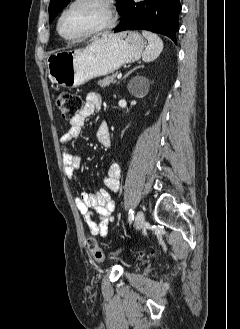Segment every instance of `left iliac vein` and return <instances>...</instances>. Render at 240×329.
<instances>
[{
    "mask_svg": "<svg viewBox=\"0 0 240 329\" xmlns=\"http://www.w3.org/2000/svg\"><path fill=\"white\" fill-rule=\"evenodd\" d=\"M145 225V216L142 211H138L135 217V228L141 230Z\"/></svg>",
    "mask_w": 240,
    "mask_h": 329,
    "instance_id": "1",
    "label": "left iliac vein"
}]
</instances>
